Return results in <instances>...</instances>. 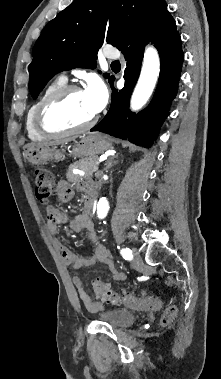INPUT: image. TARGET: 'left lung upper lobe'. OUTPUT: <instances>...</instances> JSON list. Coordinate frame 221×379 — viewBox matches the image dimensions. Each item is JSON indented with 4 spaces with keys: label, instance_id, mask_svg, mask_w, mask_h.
Returning a JSON list of instances; mask_svg holds the SVG:
<instances>
[{
    "label": "left lung upper lobe",
    "instance_id": "obj_1",
    "mask_svg": "<svg viewBox=\"0 0 221 379\" xmlns=\"http://www.w3.org/2000/svg\"><path fill=\"white\" fill-rule=\"evenodd\" d=\"M164 0H75L43 29L29 65V90L36 99L57 73L75 67L95 68L98 49H118L137 34ZM111 83L114 76L104 74Z\"/></svg>",
    "mask_w": 221,
    "mask_h": 379
}]
</instances>
